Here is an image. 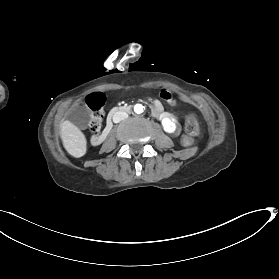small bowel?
I'll list each match as a JSON object with an SVG mask.
<instances>
[{
    "label": "small bowel",
    "mask_w": 279,
    "mask_h": 279,
    "mask_svg": "<svg viewBox=\"0 0 279 279\" xmlns=\"http://www.w3.org/2000/svg\"><path fill=\"white\" fill-rule=\"evenodd\" d=\"M160 96L164 101H166L170 105H175L176 100L168 89H166V88L162 89L160 92ZM162 114H163L162 103L158 100H155L154 101V115L158 117V116H161Z\"/></svg>",
    "instance_id": "small-bowel-1"
}]
</instances>
